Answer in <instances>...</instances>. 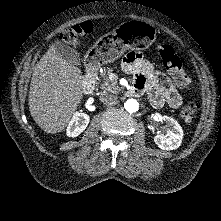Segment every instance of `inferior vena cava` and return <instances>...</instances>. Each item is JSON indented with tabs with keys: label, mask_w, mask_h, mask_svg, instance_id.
<instances>
[{
	"label": "inferior vena cava",
	"mask_w": 221,
	"mask_h": 221,
	"mask_svg": "<svg viewBox=\"0 0 221 221\" xmlns=\"http://www.w3.org/2000/svg\"><path fill=\"white\" fill-rule=\"evenodd\" d=\"M100 100L105 105H114L117 104L118 102L116 96L109 94L107 92H103V94L100 96Z\"/></svg>",
	"instance_id": "1"
}]
</instances>
